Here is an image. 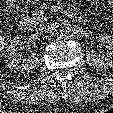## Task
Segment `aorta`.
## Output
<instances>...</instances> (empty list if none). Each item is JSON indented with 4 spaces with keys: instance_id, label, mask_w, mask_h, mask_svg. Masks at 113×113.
Listing matches in <instances>:
<instances>
[{
    "instance_id": "1",
    "label": "aorta",
    "mask_w": 113,
    "mask_h": 113,
    "mask_svg": "<svg viewBox=\"0 0 113 113\" xmlns=\"http://www.w3.org/2000/svg\"><path fill=\"white\" fill-rule=\"evenodd\" d=\"M76 33V27L71 23H63L59 29V37L67 40L72 38Z\"/></svg>"
}]
</instances>
